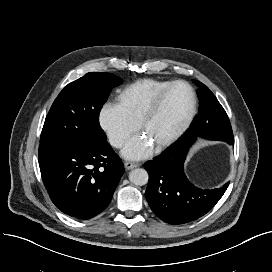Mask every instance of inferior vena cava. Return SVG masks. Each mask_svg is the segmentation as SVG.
<instances>
[{
  "instance_id": "1",
  "label": "inferior vena cava",
  "mask_w": 272,
  "mask_h": 272,
  "mask_svg": "<svg viewBox=\"0 0 272 272\" xmlns=\"http://www.w3.org/2000/svg\"><path fill=\"white\" fill-rule=\"evenodd\" d=\"M111 144L114 147H121L123 144V139L121 137L113 138V139H111Z\"/></svg>"
}]
</instances>
